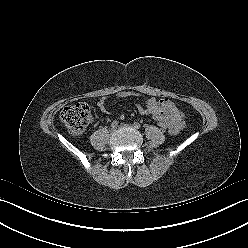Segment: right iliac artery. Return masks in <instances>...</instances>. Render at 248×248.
<instances>
[{
	"label": "right iliac artery",
	"instance_id": "1",
	"mask_svg": "<svg viewBox=\"0 0 248 248\" xmlns=\"http://www.w3.org/2000/svg\"><path fill=\"white\" fill-rule=\"evenodd\" d=\"M118 124H119V122L117 120H115L111 123V127L116 128V127H118Z\"/></svg>",
	"mask_w": 248,
	"mask_h": 248
}]
</instances>
